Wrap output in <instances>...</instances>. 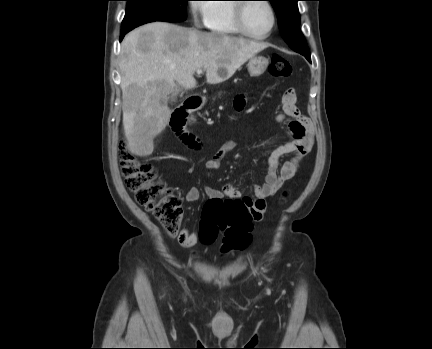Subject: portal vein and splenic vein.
<instances>
[{"label":"portal vein and splenic vein","mask_w":432,"mask_h":349,"mask_svg":"<svg viewBox=\"0 0 432 349\" xmlns=\"http://www.w3.org/2000/svg\"><path fill=\"white\" fill-rule=\"evenodd\" d=\"M203 73L202 69L197 70V74L201 75Z\"/></svg>","instance_id":"obj_1"}]
</instances>
